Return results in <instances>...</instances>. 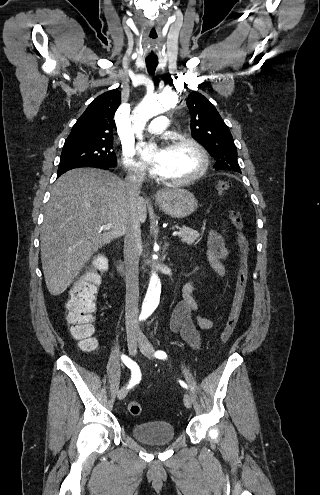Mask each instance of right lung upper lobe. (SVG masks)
<instances>
[{
	"label": "right lung upper lobe",
	"instance_id": "cb5924a9",
	"mask_svg": "<svg viewBox=\"0 0 320 495\" xmlns=\"http://www.w3.org/2000/svg\"><path fill=\"white\" fill-rule=\"evenodd\" d=\"M121 92L113 89L94 99L74 124L66 141H113L115 121Z\"/></svg>",
	"mask_w": 320,
	"mask_h": 495
}]
</instances>
